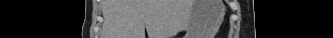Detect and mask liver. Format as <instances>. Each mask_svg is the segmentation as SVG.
I'll return each instance as SVG.
<instances>
[{"instance_id": "obj_1", "label": "liver", "mask_w": 333, "mask_h": 38, "mask_svg": "<svg viewBox=\"0 0 333 38\" xmlns=\"http://www.w3.org/2000/svg\"><path fill=\"white\" fill-rule=\"evenodd\" d=\"M162 2L158 0H143L142 11L153 12L159 10Z\"/></svg>"}]
</instances>
